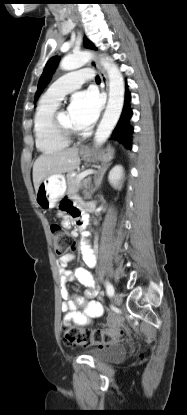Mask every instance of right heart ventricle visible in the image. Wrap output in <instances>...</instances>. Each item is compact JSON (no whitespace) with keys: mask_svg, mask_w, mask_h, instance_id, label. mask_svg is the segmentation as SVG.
<instances>
[{"mask_svg":"<svg viewBox=\"0 0 187 415\" xmlns=\"http://www.w3.org/2000/svg\"><path fill=\"white\" fill-rule=\"evenodd\" d=\"M59 101L44 96L34 115V134L37 148L45 154L59 152L69 145V140L62 137L55 129L53 116Z\"/></svg>","mask_w":187,"mask_h":415,"instance_id":"obj_1","label":"right heart ventricle"}]
</instances>
